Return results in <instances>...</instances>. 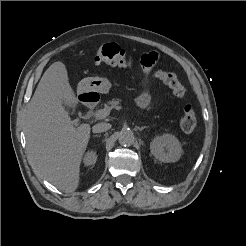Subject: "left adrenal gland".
<instances>
[{
  "mask_svg": "<svg viewBox=\"0 0 246 246\" xmlns=\"http://www.w3.org/2000/svg\"><path fill=\"white\" fill-rule=\"evenodd\" d=\"M145 128H147V126H142V127L138 128V129H139V131H142V130H144Z\"/></svg>",
  "mask_w": 246,
  "mask_h": 246,
  "instance_id": "obj_1",
  "label": "left adrenal gland"
}]
</instances>
